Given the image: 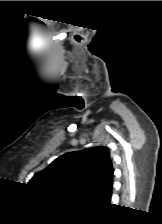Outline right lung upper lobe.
<instances>
[{"instance_id": "1", "label": "right lung upper lobe", "mask_w": 162, "mask_h": 224, "mask_svg": "<svg viewBox=\"0 0 162 224\" xmlns=\"http://www.w3.org/2000/svg\"><path fill=\"white\" fill-rule=\"evenodd\" d=\"M113 173L109 150L99 146L58 157L29 184L52 193L76 195L97 205L110 201Z\"/></svg>"}]
</instances>
